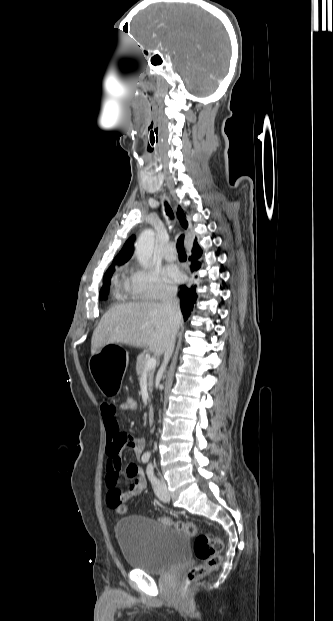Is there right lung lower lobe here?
I'll return each instance as SVG.
<instances>
[{"mask_svg": "<svg viewBox=\"0 0 333 621\" xmlns=\"http://www.w3.org/2000/svg\"><path fill=\"white\" fill-rule=\"evenodd\" d=\"M202 254L201 249L199 248L198 244L193 246L192 249V255L189 257V260L191 261V271H195L198 270L201 266V263L199 262V258ZM195 287H191L188 288L185 285L180 286V291H179V298H180V305H181V311L184 315V319H187V317L190 315V311L193 309V304L196 302V298L197 295L195 294Z\"/></svg>", "mask_w": 333, "mask_h": 621, "instance_id": "obj_1", "label": "right lung lower lobe"}]
</instances>
